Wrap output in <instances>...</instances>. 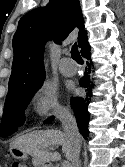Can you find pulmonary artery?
Here are the masks:
<instances>
[{
	"label": "pulmonary artery",
	"instance_id": "e3ab8cb5",
	"mask_svg": "<svg viewBox=\"0 0 125 167\" xmlns=\"http://www.w3.org/2000/svg\"><path fill=\"white\" fill-rule=\"evenodd\" d=\"M69 61H70L69 58H63L62 61L60 62L59 68L63 75L71 77L76 74L77 66L76 65L68 66L67 63Z\"/></svg>",
	"mask_w": 125,
	"mask_h": 167
}]
</instances>
